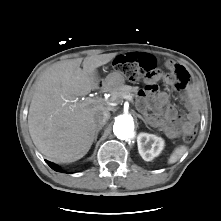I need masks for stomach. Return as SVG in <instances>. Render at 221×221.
<instances>
[{"mask_svg": "<svg viewBox=\"0 0 221 221\" xmlns=\"http://www.w3.org/2000/svg\"><path fill=\"white\" fill-rule=\"evenodd\" d=\"M124 82L125 79L119 72H113L106 77L104 85L109 91L113 92L122 87Z\"/></svg>", "mask_w": 221, "mask_h": 221, "instance_id": "0dacf381", "label": "stomach"}]
</instances>
